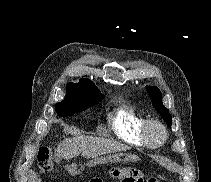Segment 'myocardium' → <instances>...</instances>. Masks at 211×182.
Instances as JSON below:
<instances>
[{"label":"myocardium","instance_id":"1","mask_svg":"<svg viewBox=\"0 0 211 182\" xmlns=\"http://www.w3.org/2000/svg\"><path fill=\"white\" fill-rule=\"evenodd\" d=\"M153 128H158L161 131L162 138L160 140H153L150 137V131ZM141 134L145 145L151 148H156L163 145L168 139V131L166 126L160 120L157 119L146 120L143 124Z\"/></svg>","mask_w":211,"mask_h":182}]
</instances>
